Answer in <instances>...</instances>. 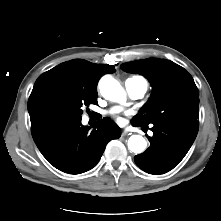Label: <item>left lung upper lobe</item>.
<instances>
[{
    "instance_id": "5c2ea615",
    "label": "left lung upper lobe",
    "mask_w": 221,
    "mask_h": 221,
    "mask_svg": "<svg viewBox=\"0 0 221 221\" xmlns=\"http://www.w3.org/2000/svg\"><path fill=\"white\" fill-rule=\"evenodd\" d=\"M121 68L144 75L152 84L150 99L134 117V122L148 125L171 121L198 125V89L183 67L170 60L149 58L124 63Z\"/></svg>"
}]
</instances>
